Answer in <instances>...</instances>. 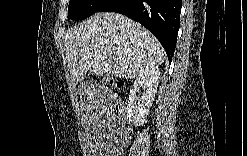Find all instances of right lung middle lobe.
I'll use <instances>...</instances> for the list:
<instances>
[{
  "label": "right lung middle lobe",
  "instance_id": "obj_1",
  "mask_svg": "<svg viewBox=\"0 0 247 156\" xmlns=\"http://www.w3.org/2000/svg\"><path fill=\"white\" fill-rule=\"evenodd\" d=\"M106 2L107 0H70L68 19H85L98 12Z\"/></svg>",
  "mask_w": 247,
  "mask_h": 156
}]
</instances>
